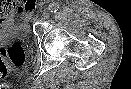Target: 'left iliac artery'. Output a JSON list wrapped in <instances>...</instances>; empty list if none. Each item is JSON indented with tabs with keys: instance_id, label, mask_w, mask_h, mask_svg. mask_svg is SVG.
Listing matches in <instances>:
<instances>
[{
	"instance_id": "obj_1",
	"label": "left iliac artery",
	"mask_w": 131,
	"mask_h": 89,
	"mask_svg": "<svg viewBox=\"0 0 131 89\" xmlns=\"http://www.w3.org/2000/svg\"><path fill=\"white\" fill-rule=\"evenodd\" d=\"M49 10L51 12H57L59 10V5L55 2L50 3Z\"/></svg>"
}]
</instances>
